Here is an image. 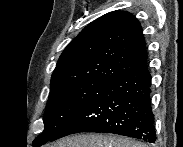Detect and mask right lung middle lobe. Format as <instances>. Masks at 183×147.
I'll return each instance as SVG.
<instances>
[{
    "mask_svg": "<svg viewBox=\"0 0 183 147\" xmlns=\"http://www.w3.org/2000/svg\"><path fill=\"white\" fill-rule=\"evenodd\" d=\"M108 84L102 80L86 79L52 86L44 115L45 128L33 146L52 141L63 124Z\"/></svg>",
    "mask_w": 183,
    "mask_h": 147,
    "instance_id": "obj_1",
    "label": "right lung middle lobe"
}]
</instances>
